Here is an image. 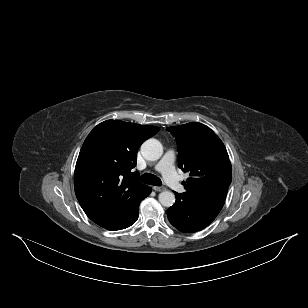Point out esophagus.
Returning <instances> with one entry per match:
<instances>
[{
  "instance_id": "obj_1",
  "label": "esophagus",
  "mask_w": 308,
  "mask_h": 308,
  "mask_svg": "<svg viewBox=\"0 0 308 308\" xmlns=\"http://www.w3.org/2000/svg\"><path fill=\"white\" fill-rule=\"evenodd\" d=\"M153 189H154L155 191H157V192H161V191L165 190L164 187H160V186H154Z\"/></svg>"
}]
</instances>
